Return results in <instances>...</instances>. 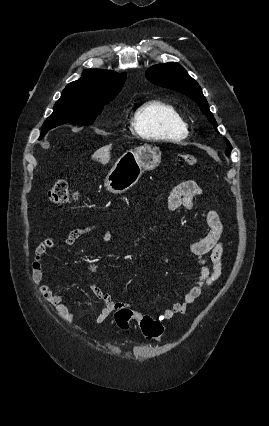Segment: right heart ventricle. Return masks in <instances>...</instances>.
<instances>
[{"label": "right heart ventricle", "instance_id": "e07e8e85", "mask_svg": "<svg viewBox=\"0 0 269 426\" xmlns=\"http://www.w3.org/2000/svg\"><path fill=\"white\" fill-rule=\"evenodd\" d=\"M131 128L152 141H176L188 135V126L177 107L159 99L140 104L132 114Z\"/></svg>", "mask_w": 269, "mask_h": 426}]
</instances>
